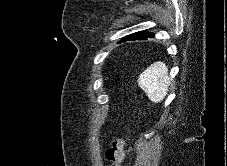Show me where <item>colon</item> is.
<instances>
[{
	"label": "colon",
	"instance_id": "colon-1",
	"mask_svg": "<svg viewBox=\"0 0 227 166\" xmlns=\"http://www.w3.org/2000/svg\"><path fill=\"white\" fill-rule=\"evenodd\" d=\"M106 158L110 162V166H119L124 158L123 142L119 139L111 141L106 150Z\"/></svg>",
	"mask_w": 227,
	"mask_h": 166
}]
</instances>
